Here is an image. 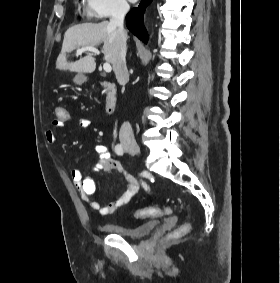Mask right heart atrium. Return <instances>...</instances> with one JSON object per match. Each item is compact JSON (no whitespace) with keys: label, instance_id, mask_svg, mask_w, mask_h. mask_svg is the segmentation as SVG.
Segmentation results:
<instances>
[{"label":"right heart atrium","instance_id":"d8ad5b80","mask_svg":"<svg viewBox=\"0 0 280 283\" xmlns=\"http://www.w3.org/2000/svg\"><path fill=\"white\" fill-rule=\"evenodd\" d=\"M85 12L96 19H107L125 14L129 5L126 0H84Z\"/></svg>","mask_w":280,"mask_h":283}]
</instances>
